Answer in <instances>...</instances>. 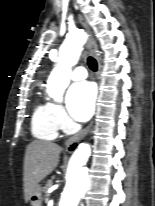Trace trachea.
I'll return each mask as SVG.
<instances>
[{
  "mask_svg": "<svg viewBox=\"0 0 155 206\" xmlns=\"http://www.w3.org/2000/svg\"><path fill=\"white\" fill-rule=\"evenodd\" d=\"M87 62L92 71H97V62L93 57L89 56Z\"/></svg>",
  "mask_w": 155,
  "mask_h": 206,
  "instance_id": "1",
  "label": "trachea"
}]
</instances>
